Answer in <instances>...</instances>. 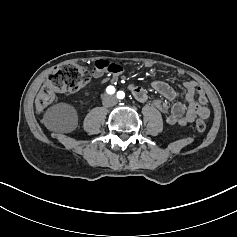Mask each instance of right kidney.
I'll return each mask as SVG.
<instances>
[{
  "instance_id": "1",
  "label": "right kidney",
  "mask_w": 237,
  "mask_h": 237,
  "mask_svg": "<svg viewBox=\"0 0 237 237\" xmlns=\"http://www.w3.org/2000/svg\"><path fill=\"white\" fill-rule=\"evenodd\" d=\"M91 94H92L91 90H86V91L84 92V94H83V97H84V98H88V97L91 96Z\"/></svg>"
}]
</instances>
